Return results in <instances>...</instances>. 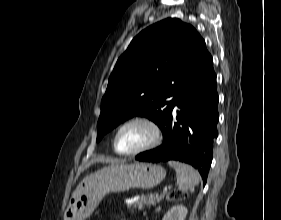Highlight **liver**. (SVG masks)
I'll return each mask as SVG.
<instances>
[{"label":"liver","instance_id":"6515ba94","mask_svg":"<svg viewBox=\"0 0 281 220\" xmlns=\"http://www.w3.org/2000/svg\"><path fill=\"white\" fill-rule=\"evenodd\" d=\"M97 160L107 162V163H109V164H111V165H119V164H124V163H125V161H123V160H117V159H93V160L88 164V166L91 165L92 163H94V162L97 161Z\"/></svg>","mask_w":281,"mask_h":220}]
</instances>
